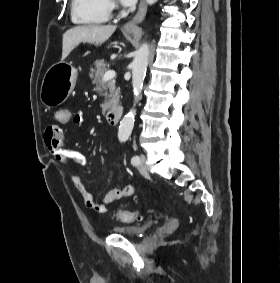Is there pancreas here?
Here are the masks:
<instances>
[{
	"label": "pancreas",
	"instance_id": "pancreas-1",
	"mask_svg": "<svg viewBox=\"0 0 280 283\" xmlns=\"http://www.w3.org/2000/svg\"><path fill=\"white\" fill-rule=\"evenodd\" d=\"M109 64L104 60H97L90 68V78L95 84V91H101L104 94V103L101 105L102 113H105L112 107H116L119 103V90L116 89L114 79L103 81L104 73L107 71Z\"/></svg>",
	"mask_w": 280,
	"mask_h": 283
}]
</instances>
